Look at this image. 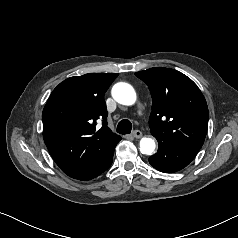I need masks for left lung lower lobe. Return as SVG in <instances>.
I'll return each mask as SVG.
<instances>
[{"mask_svg":"<svg viewBox=\"0 0 238 238\" xmlns=\"http://www.w3.org/2000/svg\"><path fill=\"white\" fill-rule=\"evenodd\" d=\"M197 153L171 143H159L158 152L149 158V163L161 172L173 173L186 167Z\"/></svg>","mask_w":238,"mask_h":238,"instance_id":"1","label":"left lung lower lobe"}]
</instances>
